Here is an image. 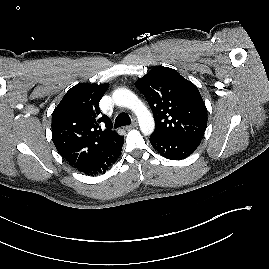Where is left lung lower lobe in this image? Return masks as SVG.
<instances>
[{
    "label": "left lung lower lobe",
    "mask_w": 269,
    "mask_h": 269,
    "mask_svg": "<svg viewBox=\"0 0 269 269\" xmlns=\"http://www.w3.org/2000/svg\"><path fill=\"white\" fill-rule=\"evenodd\" d=\"M150 142L155 150L158 151L163 157L170 160H182L196 150L201 142V139H173L151 135Z\"/></svg>",
    "instance_id": "0a47b994"
}]
</instances>
